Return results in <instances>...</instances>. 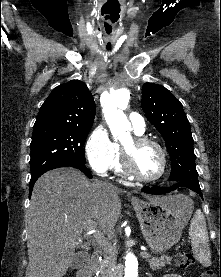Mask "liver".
Listing matches in <instances>:
<instances>
[{
    "label": "liver",
    "mask_w": 221,
    "mask_h": 277,
    "mask_svg": "<svg viewBox=\"0 0 221 277\" xmlns=\"http://www.w3.org/2000/svg\"><path fill=\"white\" fill-rule=\"evenodd\" d=\"M122 190L102 181H89L75 168L43 174L35 183L28 209V256L25 277H63L72 263L78 238L91 221L104 233L113 231L121 212ZM148 200L177 203L180 196Z\"/></svg>",
    "instance_id": "liver-1"
}]
</instances>
